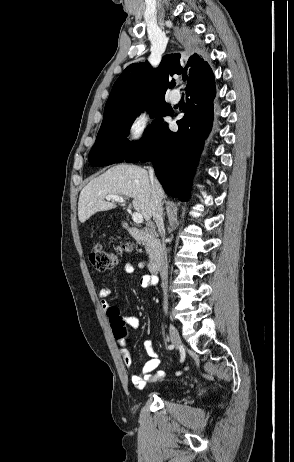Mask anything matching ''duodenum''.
I'll list each match as a JSON object with an SVG mask.
<instances>
[{"mask_svg":"<svg viewBox=\"0 0 294 462\" xmlns=\"http://www.w3.org/2000/svg\"><path fill=\"white\" fill-rule=\"evenodd\" d=\"M124 227L136 241L148 247L150 251L149 269L154 273L159 271L162 266L165 251L156 236L155 228L148 227L141 230L135 227H130L127 224H124Z\"/></svg>","mask_w":294,"mask_h":462,"instance_id":"1","label":"duodenum"}]
</instances>
